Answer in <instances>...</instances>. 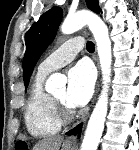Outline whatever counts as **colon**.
<instances>
[{
    "label": "colon",
    "instance_id": "colon-1",
    "mask_svg": "<svg viewBox=\"0 0 139 150\" xmlns=\"http://www.w3.org/2000/svg\"><path fill=\"white\" fill-rule=\"evenodd\" d=\"M16 150H28L27 146L23 143H17L16 144Z\"/></svg>",
    "mask_w": 139,
    "mask_h": 150
}]
</instances>
